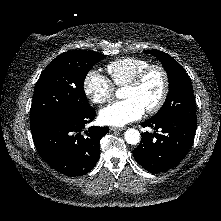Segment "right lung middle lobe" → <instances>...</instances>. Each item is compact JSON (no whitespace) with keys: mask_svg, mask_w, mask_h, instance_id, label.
I'll return each mask as SVG.
<instances>
[{"mask_svg":"<svg viewBox=\"0 0 221 221\" xmlns=\"http://www.w3.org/2000/svg\"><path fill=\"white\" fill-rule=\"evenodd\" d=\"M105 55L72 50L60 54L43 71L38 79L31 110V128L54 115L85 112L91 108L84 92L86 74Z\"/></svg>","mask_w":221,"mask_h":221,"instance_id":"1","label":"right lung middle lobe"}]
</instances>
